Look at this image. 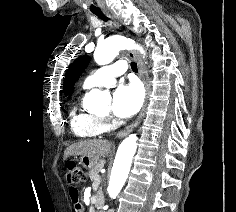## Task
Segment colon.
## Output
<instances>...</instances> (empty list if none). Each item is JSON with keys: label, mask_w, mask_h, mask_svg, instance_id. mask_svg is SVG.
<instances>
[{"label": "colon", "mask_w": 236, "mask_h": 212, "mask_svg": "<svg viewBox=\"0 0 236 212\" xmlns=\"http://www.w3.org/2000/svg\"><path fill=\"white\" fill-rule=\"evenodd\" d=\"M85 180L83 170L74 162L67 165V181L73 187L81 184Z\"/></svg>", "instance_id": "colon-1"}]
</instances>
